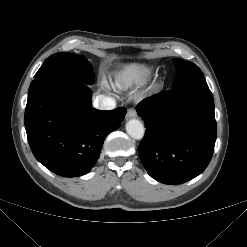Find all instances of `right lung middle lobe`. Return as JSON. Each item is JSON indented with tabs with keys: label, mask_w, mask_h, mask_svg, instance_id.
<instances>
[{
	"label": "right lung middle lobe",
	"mask_w": 247,
	"mask_h": 247,
	"mask_svg": "<svg viewBox=\"0 0 247 247\" xmlns=\"http://www.w3.org/2000/svg\"><path fill=\"white\" fill-rule=\"evenodd\" d=\"M55 77L61 80L93 83L91 64L83 57L70 53H56L45 60L34 78Z\"/></svg>",
	"instance_id": "right-lung-middle-lobe-1"
}]
</instances>
